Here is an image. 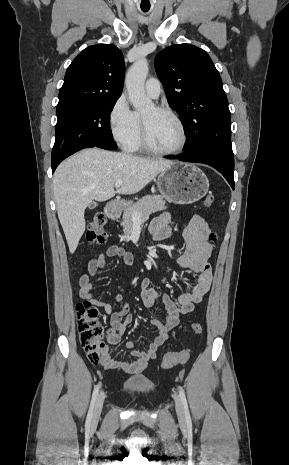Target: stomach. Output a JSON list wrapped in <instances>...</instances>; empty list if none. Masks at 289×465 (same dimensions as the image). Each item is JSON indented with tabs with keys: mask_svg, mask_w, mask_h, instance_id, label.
Masks as SVG:
<instances>
[{
	"mask_svg": "<svg viewBox=\"0 0 289 465\" xmlns=\"http://www.w3.org/2000/svg\"><path fill=\"white\" fill-rule=\"evenodd\" d=\"M161 195L176 204H191L203 198L209 189L204 172L192 164L173 163L157 177Z\"/></svg>",
	"mask_w": 289,
	"mask_h": 465,
	"instance_id": "1",
	"label": "stomach"
}]
</instances>
